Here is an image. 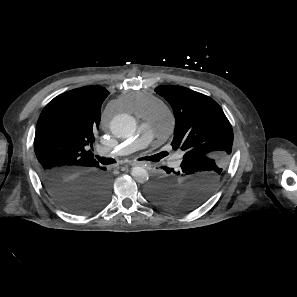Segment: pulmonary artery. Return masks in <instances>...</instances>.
<instances>
[{
	"instance_id": "obj_1",
	"label": "pulmonary artery",
	"mask_w": 297,
	"mask_h": 297,
	"mask_svg": "<svg viewBox=\"0 0 297 297\" xmlns=\"http://www.w3.org/2000/svg\"><path fill=\"white\" fill-rule=\"evenodd\" d=\"M164 122H167L168 125H171L173 122V116L169 110H164L161 117L144 123L134 136L119 144L113 152L129 154L138 149L149 147L153 138L164 130ZM103 152L108 151L104 149Z\"/></svg>"
}]
</instances>
